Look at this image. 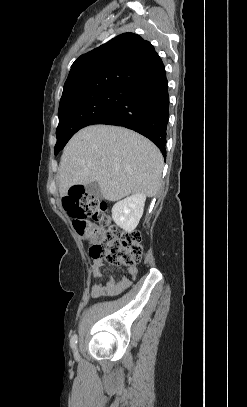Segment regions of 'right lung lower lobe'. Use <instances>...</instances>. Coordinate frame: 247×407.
<instances>
[{"instance_id":"obj_1","label":"right lung lower lobe","mask_w":247,"mask_h":407,"mask_svg":"<svg viewBox=\"0 0 247 407\" xmlns=\"http://www.w3.org/2000/svg\"><path fill=\"white\" fill-rule=\"evenodd\" d=\"M169 94L165 68L152 79L140 83L117 106L94 124L132 129L150 139L166 158V130Z\"/></svg>"}]
</instances>
